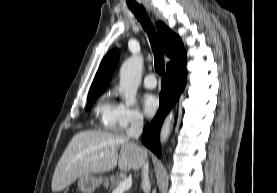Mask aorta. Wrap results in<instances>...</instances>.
<instances>
[{"instance_id":"762f6f07","label":"aorta","mask_w":277,"mask_h":193,"mask_svg":"<svg viewBox=\"0 0 277 193\" xmlns=\"http://www.w3.org/2000/svg\"><path fill=\"white\" fill-rule=\"evenodd\" d=\"M143 57L134 55L128 58L120 68L119 92L125 98L127 105H133L136 102V93L142 78ZM174 121V115L171 112L165 119L161 132L160 142L163 144L168 139Z\"/></svg>"}]
</instances>
